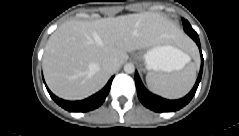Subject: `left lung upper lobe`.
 <instances>
[{
	"label": "left lung upper lobe",
	"instance_id": "1",
	"mask_svg": "<svg viewBox=\"0 0 239 136\" xmlns=\"http://www.w3.org/2000/svg\"><path fill=\"white\" fill-rule=\"evenodd\" d=\"M182 22H183V25H185L186 27L192 28L187 20L182 19Z\"/></svg>",
	"mask_w": 239,
	"mask_h": 136
}]
</instances>
